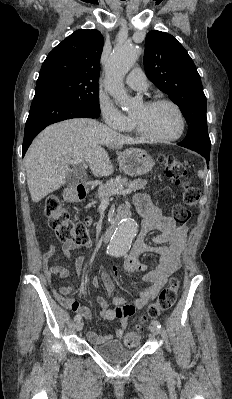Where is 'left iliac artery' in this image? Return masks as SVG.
<instances>
[{
    "instance_id": "obj_1",
    "label": "left iliac artery",
    "mask_w": 232,
    "mask_h": 399,
    "mask_svg": "<svg viewBox=\"0 0 232 399\" xmlns=\"http://www.w3.org/2000/svg\"><path fill=\"white\" fill-rule=\"evenodd\" d=\"M152 325H154L157 328H161V323L158 320H152Z\"/></svg>"
}]
</instances>
